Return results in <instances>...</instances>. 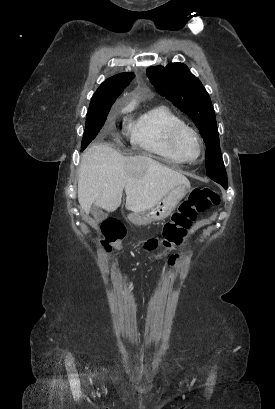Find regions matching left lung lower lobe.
<instances>
[{
  "instance_id": "obj_1",
  "label": "left lung lower lobe",
  "mask_w": 275,
  "mask_h": 409,
  "mask_svg": "<svg viewBox=\"0 0 275 409\" xmlns=\"http://www.w3.org/2000/svg\"><path fill=\"white\" fill-rule=\"evenodd\" d=\"M223 187H224L225 189H227V185H224Z\"/></svg>"
}]
</instances>
